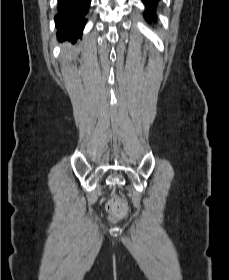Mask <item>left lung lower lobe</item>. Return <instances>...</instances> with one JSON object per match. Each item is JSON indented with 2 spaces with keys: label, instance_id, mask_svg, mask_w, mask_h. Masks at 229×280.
Listing matches in <instances>:
<instances>
[{
  "label": "left lung lower lobe",
  "instance_id": "1",
  "mask_svg": "<svg viewBox=\"0 0 229 280\" xmlns=\"http://www.w3.org/2000/svg\"><path fill=\"white\" fill-rule=\"evenodd\" d=\"M143 3L146 4L147 10L145 12V17L147 18L148 22H151L152 20H155V10H150V7H154L157 0H142Z\"/></svg>",
  "mask_w": 229,
  "mask_h": 280
}]
</instances>
